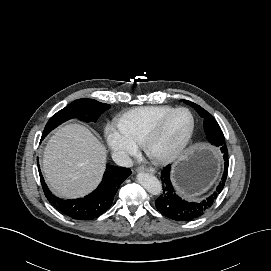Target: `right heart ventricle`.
<instances>
[{
  "label": "right heart ventricle",
  "instance_id": "1",
  "mask_svg": "<svg viewBox=\"0 0 271 271\" xmlns=\"http://www.w3.org/2000/svg\"><path fill=\"white\" fill-rule=\"evenodd\" d=\"M172 106H143L126 111L118 120L120 130L134 143L141 144L150 130L169 112Z\"/></svg>",
  "mask_w": 271,
  "mask_h": 271
}]
</instances>
